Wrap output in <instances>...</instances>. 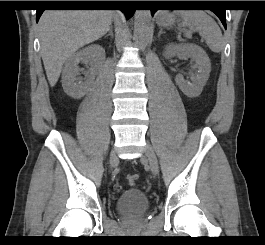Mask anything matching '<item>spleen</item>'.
<instances>
[{
  "label": "spleen",
  "mask_w": 265,
  "mask_h": 245,
  "mask_svg": "<svg viewBox=\"0 0 265 245\" xmlns=\"http://www.w3.org/2000/svg\"><path fill=\"white\" fill-rule=\"evenodd\" d=\"M183 18L182 26L188 27L185 36L189 37L191 31H198L205 39L206 44L213 52H221L224 48V40L217 23L204 11H178Z\"/></svg>",
  "instance_id": "obj_1"
}]
</instances>
